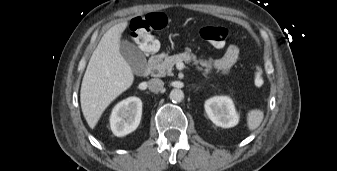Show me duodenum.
Masks as SVG:
<instances>
[{
  "label": "duodenum",
  "mask_w": 337,
  "mask_h": 171,
  "mask_svg": "<svg viewBox=\"0 0 337 171\" xmlns=\"http://www.w3.org/2000/svg\"><path fill=\"white\" fill-rule=\"evenodd\" d=\"M156 59H157L156 56H152V57H151V59H150L148 65L144 68V70H143V72H142V75H143V76H147V75L150 73L151 68H152V64L154 63V61H155Z\"/></svg>",
  "instance_id": "410a0bca"
}]
</instances>
